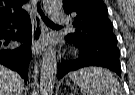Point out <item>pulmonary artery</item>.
I'll list each match as a JSON object with an SVG mask.
<instances>
[{
  "label": "pulmonary artery",
  "instance_id": "1",
  "mask_svg": "<svg viewBox=\"0 0 135 95\" xmlns=\"http://www.w3.org/2000/svg\"><path fill=\"white\" fill-rule=\"evenodd\" d=\"M52 18L55 23H63L65 20V14L60 11H53Z\"/></svg>",
  "mask_w": 135,
  "mask_h": 95
}]
</instances>
